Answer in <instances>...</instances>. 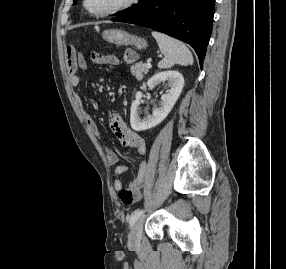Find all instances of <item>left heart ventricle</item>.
<instances>
[{
  "instance_id": "obj_1",
  "label": "left heart ventricle",
  "mask_w": 286,
  "mask_h": 269,
  "mask_svg": "<svg viewBox=\"0 0 286 269\" xmlns=\"http://www.w3.org/2000/svg\"><path fill=\"white\" fill-rule=\"evenodd\" d=\"M124 0H88L90 10L94 12L107 10L121 4Z\"/></svg>"
}]
</instances>
